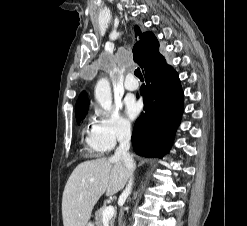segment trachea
Segmentation results:
<instances>
[{
    "instance_id": "1",
    "label": "trachea",
    "mask_w": 247,
    "mask_h": 226,
    "mask_svg": "<svg viewBox=\"0 0 247 226\" xmlns=\"http://www.w3.org/2000/svg\"><path fill=\"white\" fill-rule=\"evenodd\" d=\"M134 74H135L138 78H142V77H143V75H142V73H141V71H140L139 68H137V69L134 71Z\"/></svg>"
}]
</instances>
